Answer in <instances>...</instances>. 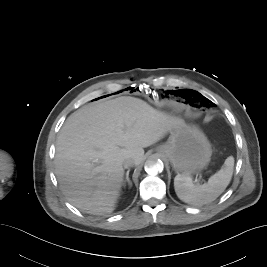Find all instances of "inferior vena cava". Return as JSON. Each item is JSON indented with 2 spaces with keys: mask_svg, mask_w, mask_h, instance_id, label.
Returning a JSON list of instances; mask_svg holds the SVG:
<instances>
[{
  "mask_svg": "<svg viewBox=\"0 0 267 267\" xmlns=\"http://www.w3.org/2000/svg\"><path fill=\"white\" fill-rule=\"evenodd\" d=\"M133 165H135V162L132 159H130V158L124 159V161H123L124 168H128V167H131Z\"/></svg>",
  "mask_w": 267,
  "mask_h": 267,
  "instance_id": "602c4592",
  "label": "inferior vena cava"
}]
</instances>
